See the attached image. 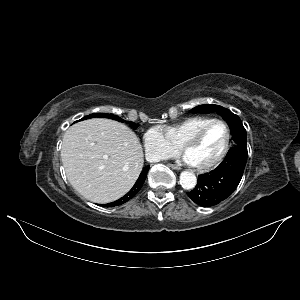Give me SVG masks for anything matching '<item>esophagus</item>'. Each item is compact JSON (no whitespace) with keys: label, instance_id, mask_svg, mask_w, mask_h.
I'll list each match as a JSON object with an SVG mask.
<instances>
[{"label":"esophagus","instance_id":"obj_1","mask_svg":"<svg viewBox=\"0 0 300 300\" xmlns=\"http://www.w3.org/2000/svg\"><path fill=\"white\" fill-rule=\"evenodd\" d=\"M169 167H171L172 169H175V170H181V167L178 165H175V164H169Z\"/></svg>","mask_w":300,"mask_h":300}]
</instances>
